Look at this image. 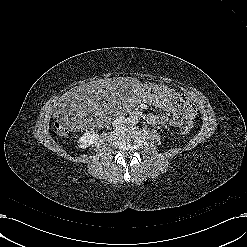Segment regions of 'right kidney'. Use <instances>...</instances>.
Instances as JSON below:
<instances>
[{
    "mask_svg": "<svg viewBox=\"0 0 247 247\" xmlns=\"http://www.w3.org/2000/svg\"><path fill=\"white\" fill-rule=\"evenodd\" d=\"M99 138V135L94 131H86L78 140L79 148L85 149L93 145Z\"/></svg>",
    "mask_w": 247,
    "mask_h": 247,
    "instance_id": "right-kidney-1",
    "label": "right kidney"
}]
</instances>
